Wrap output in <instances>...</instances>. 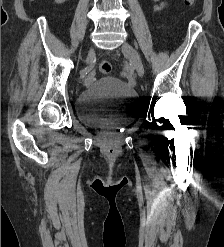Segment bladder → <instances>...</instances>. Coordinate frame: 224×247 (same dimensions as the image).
Here are the masks:
<instances>
[{"mask_svg":"<svg viewBox=\"0 0 224 247\" xmlns=\"http://www.w3.org/2000/svg\"><path fill=\"white\" fill-rule=\"evenodd\" d=\"M139 105L138 94L125 83L104 77L93 82L78 97V118L104 130H118L130 124Z\"/></svg>","mask_w":224,"mask_h":247,"instance_id":"obj_1","label":"bladder"}]
</instances>
